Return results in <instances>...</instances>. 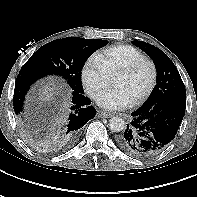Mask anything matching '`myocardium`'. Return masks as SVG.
I'll list each match as a JSON object with an SVG mask.
<instances>
[{"label":"myocardium","mask_w":197,"mask_h":197,"mask_svg":"<svg viewBox=\"0 0 197 197\" xmlns=\"http://www.w3.org/2000/svg\"><path fill=\"white\" fill-rule=\"evenodd\" d=\"M144 65H148L150 67V69H151V79H150L149 85L145 89V91L142 94H140L137 98H135L132 101V104H139V103L143 102L153 92V90H154V88L157 84V77H158L157 67H156L155 63L152 60L147 59V58L140 59V60L122 68L116 74V76H118V75L131 76L134 73H136Z\"/></svg>","instance_id":"f54148a6"}]
</instances>
